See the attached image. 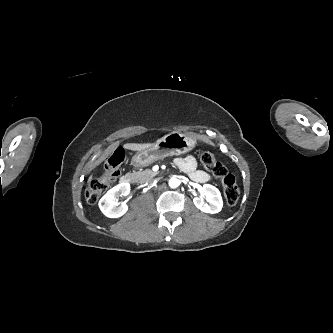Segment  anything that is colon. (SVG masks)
I'll return each instance as SVG.
<instances>
[{"instance_id": "colon-1", "label": "colon", "mask_w": 333, "mask_h": 333, "mask_svg": "<svg viewBox=\"0 0 333 333\" xmlns=\"http://www.w3.org/2000/svg\"><path fill=\"white\" fill-rule=\"evenodd\" d=\"M124 159L125 151L122 147L117 148L110 155L105 163L103 175L91 181L86 191V198L90 203L98 202L100 197L110 188L120 173ZM200 162L207 171L220 180L226 202L229 205H235L238 202L240 190L234 176L211 152H202Z\"/></svg>"}]
</instances>
